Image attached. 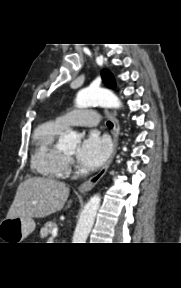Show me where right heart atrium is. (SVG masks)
<instances>
[{
  "label": "right heart atrium",
  "instance_id": "right-heart-atrium-1",
  "mask_svg": "<svg viewBox=\"0 0 181 288\" xmlns=\"http://www.w3.org/2000/svg\"><path fill=\"white\" fill-rule=\"evenodd\" d=\"M73 164V161L71 158L67 157V170L64 172L63 175H68L70 173V166Z\"/></svg>",
  "mask_w": 181,
  "mask_h": 288
}]
</instances>
